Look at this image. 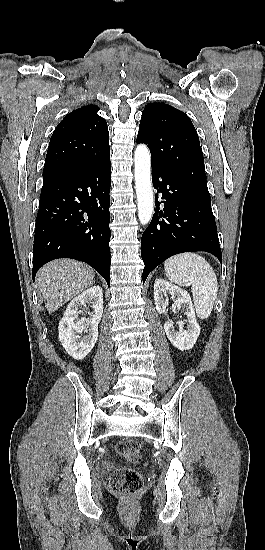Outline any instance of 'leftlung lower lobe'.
I'll return each mask as SVG.
<instances>
[{"label":"left lung lower lobe","instance_id":"1","mask_svg":"<svg viewBox=\"0 0 265 550\" xmlns=\"http://www.w3.org/2000/svg\"><path fill=\"white\" fill-rule=\"evenodd\" d=\"M151 166L156 198L162 194L164 207L156 200L155 214L141 238L143 283L155 267L178 253L206 251L222 263L210 194L156 163Z\"/></svg>","mask_w":265,"mask_h":550}]
</instances>
